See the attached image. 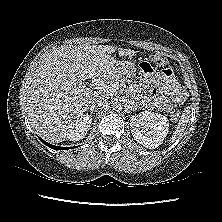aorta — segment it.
Masks as SVG:
<instances>
[{"label": "aorta", "mask_w": 222, "mask_h": 222, "mask_svg": "<svg viewBox=\"0 0 222 222\" xmlns=\"http://www.w3.org/2000/svg\"><path fill=\"white\" fill-rule=\"evenodd\" d=\"M123 106L124 105H123V103L120 100H115L113 102V105H112L113 110L116 111V112L121 111L123 109Z\"/></svg>", "instance_id": "obj_1"}]
</instances>
